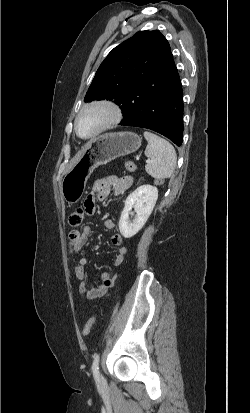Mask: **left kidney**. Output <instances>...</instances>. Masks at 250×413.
Wrapping results in <instances>:
<instances>
[{"instance_id":"left-kidney-1","label":"left kidney","mask_w":250,"mask_h":413,"mask_svg":"<svg viewBox=\"0 0 250 413\" xmlns=\"http://www.w3.org/2000/svg\"><path fill=\"white\" fill-rule=\"evenodd\" d=\"M158 198V190L151 185H142L125 200V206L119 220V230L124 238H131L142 229L148 220ZM136 212L133 222L129 221V212Z\"/></svg>"}]
</instances>
